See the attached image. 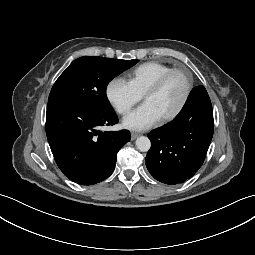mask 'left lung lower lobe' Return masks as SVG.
I'll return each instance as SVG.
<instances>
[{
    "label": "left lung lower lobe",
    "mask_w": 255,
    "mask_h": 255,
    "mask_svg": "<svg viewBox=\"0 0 255 255\" xmlns=\"http://www.w3.org/2000/svg\"><path fill=\"white\" fill-rule=\"evenodd\" d=\"M213 128L208 93L203 86H196L175 119L148 134L152 145L145 163L150 174L169 185L190 179L204 162Z\"/></svg>",
    "instance_id": "left-lung-lower-lobe-1"
}]
</instances>
